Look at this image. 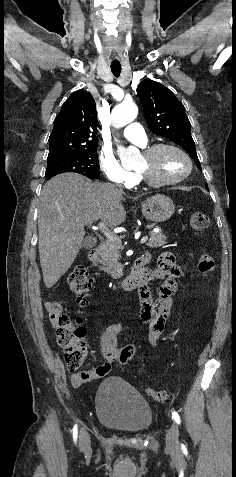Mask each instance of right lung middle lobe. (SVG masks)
Wrapping results in <instances>:
<instances>
[{"instance_id":"1","label":"right lung middle lobe","mask_w":236,"mask_h":477,"mask_svg":"<svg viewBox=\"0 0 236 477\" xmlns=\"http://www.w3.org/2000/svg\"><path fill=\"white\" fill-rule=\"evenodd\" d=\"M65 172L78 173L89 179L99 178V161L97 155V145L81 148L75 153L48 160L46 178Z\"/></svg>"}]
</instances>
